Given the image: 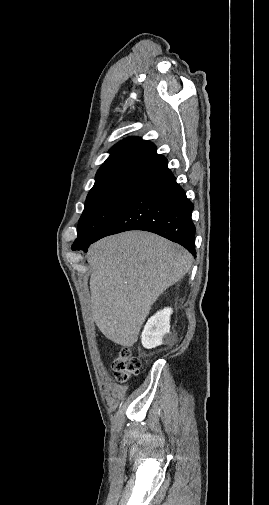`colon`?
<instances>
[{
	"mask_svg": "<svg viewBox=\"0 0 269 505\" xmlns=\"http://www.w3.org/2000/svg\"><path fill=\"white\" fill-rule=\"evenodd\" d=\"M111 365L115 379L123 382L139 372L141 362L127 348H123L113 358Z\"/></svg>",
	"mask_w": 269,
	"mask_h": 505,
	"instance_id": "1",
	"label": "colon"
}]
</instances>
